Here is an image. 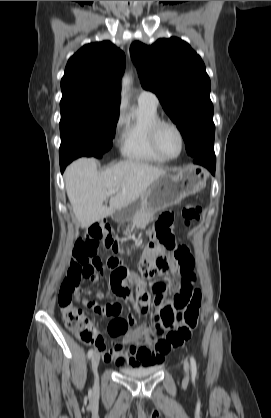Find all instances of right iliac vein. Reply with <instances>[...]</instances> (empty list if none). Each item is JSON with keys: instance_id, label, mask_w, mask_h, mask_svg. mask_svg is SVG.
<instances>
[{"instance_id": "63e3f726", "label": "right iliac vein", "mask_w": 271, "mask_h": 418, "mask_svg": "<svg viewBox=\"0 0 271 418\" xmlns=\"http://www.w3.org/2000/svg\"><path fill=\"white\" fill-rule=\"evenodd\" d=\"M99 362H100V355L98 352H96L91 359V366H92V370L95 376V386L97 387L98 385V366H99Z\"/></svg>"}]
</instances>
